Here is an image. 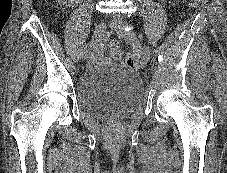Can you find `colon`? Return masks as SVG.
<instances>
[{"label":"colon","mask_w":227,"mask_h":173,"mask_svg":"<svg viewBox=\"0 0 227 173\" xmlns=\"http://www.w3.org/2000/svg\"><path fill=\"white\" fill-rule=\"evenodd\" d=\"M208 0H186L188 5L192 7L202 6L207 3ZM109 48L112 56L117 59L123 61L129 67L136 66V60L130 53H124L120 50L119 44L116 40H113L109 44Z\"/></svg>","instance_id":"colon-1"}]
</instances>
